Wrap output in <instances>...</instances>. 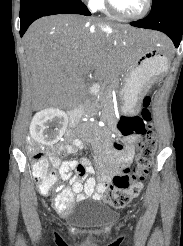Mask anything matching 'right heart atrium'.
Returning <instances> with one entry per match:
<instances>
[{
  "instance_id": "right-heart-atrium-1",
  "label": "right heart atrium",
  "mask_w": 183,
  "mask_h": 246,
  "mask_svg": "<svg viewBox=\"0 0 183 246\" xmlns=\"http://www.w3.org/2000/svg\"><path fill=\"white\" fill-rule=\"evenodd\" d=\"M91 9H96L102 0H85Z\"/></svg>"
}]
</instances>
